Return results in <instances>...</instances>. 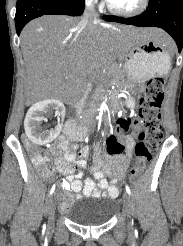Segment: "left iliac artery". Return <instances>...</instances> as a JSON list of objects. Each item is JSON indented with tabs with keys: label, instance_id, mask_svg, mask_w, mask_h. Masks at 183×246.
<instances>
[{
	"label": "left iliac artery",
	"instance_id": "1",
	"mask_svg": "<svg viewBox=\"0 0 183 246\" xmlns=\"http://www.w3.org/2000/svg\"><path fill=\"white\" fill-rule=\"evenodd\" d=\"M125 188H126L127 193L129 195H131V190H130V188H129V186L127 184L125 185Z\"/></svg>",
	"mask_w": 183,
	"mask_h": 246
}]
</instances>
